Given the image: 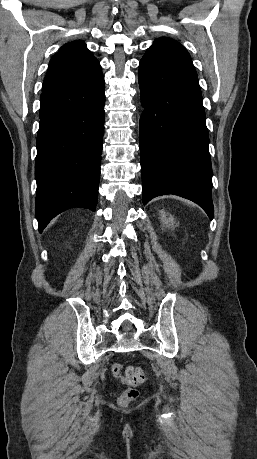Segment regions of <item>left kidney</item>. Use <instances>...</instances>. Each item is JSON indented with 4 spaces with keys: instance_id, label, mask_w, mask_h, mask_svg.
I'll return each mask as SVG.
<instances>
[{
    "instance_id": "1",
    "label": "left kidney",
    "mask_w": 257,
    "mask_h": 459,
    "mask_svg": "<svg viewBox=\"0 0 257 459\" xmlns=\"http://www.w3.org/2000/svg\"><path fill=\"white\" fill-rule=\"evenodd\" d=\"M161 222L166 227H174L175 226V218L173 215L166 213L164 210L159 211Z\"/></svg>"
}]
</instances>
